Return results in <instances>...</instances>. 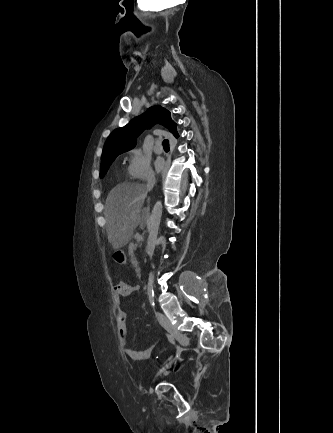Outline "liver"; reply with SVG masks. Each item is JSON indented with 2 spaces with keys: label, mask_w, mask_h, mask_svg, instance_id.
Listing matches in <instances>:
<instances>
[{
  "label": "liver",
  "mask_w": 333,
  "mask_h": 433,
  "mask_svg": "<svg viewBox=\"0 0 333 433\" xmlns=\"http://www.w3.org/2000/svg\"><path fill=\"white\" fill-rule=\"evenodd\" d=\"M150 190L140 183H122L106 198L105 225L109 243L114 250L127 245L135 229L142 226L145 199Z\"/></svg>",
  "instance_id": "obj_1"
}]
</instances>
